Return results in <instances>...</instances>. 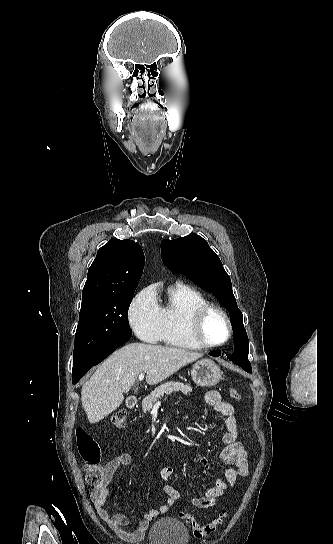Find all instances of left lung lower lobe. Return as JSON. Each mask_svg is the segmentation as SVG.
<instances>
[{"instance_id": "obj_1", "label": "left lung lower lobe", "mask_w": 333, "mask_h": 544, "mask_svg": "<svg viewBox=\"0 0 333 544\" xmlns=\"http://www.w3.org/2000/svg\"><path fill=\"white\" fill-rule=\"evenodd\" d=\"M234 334H235V332H234ZM234 340H238L236 334L234 335ZM210 355L218 357V356L221 355V353H220V351H215V352H211ZM227 358H228L230 361H233V360H232V358H233L232 356L227 355ZM233 362H234V361H233ZM234 363H235V362H234ZM237 365H238V364H237ZM240 367H242L245 371H247V372H249V373L252 372L251 366H248V367H246V366H240Z\"/></svg>"}]
</instances>
